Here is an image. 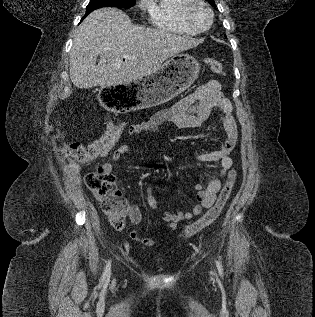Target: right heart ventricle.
Here are the masks:
<instances>
[{"instance_id": "1", "label": "right heart ventricle", "mask_w": 315, "mask_h": 317, "mask_svg": "<svg viewBox=\"0 0 315 317\" xmlns=\"http://www.w3.org/2000/svg\"><path fill=\"white\" fill-rule=\"evenodd\" d=\"M189 0H148L146 8L150 23L161 30L196 35L198 32L189 27L183 18V9Z\"/></svg>"}]
</instances>
